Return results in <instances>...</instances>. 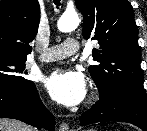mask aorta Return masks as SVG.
<instances>
[{"instance_id":"obj_1","label":"aorta","mask_w":147,"mask_h":131,"mask_svg":"<svg viewBox=\"0 0 147 131\" xmlns=\"http://www.w3.org/2000/svg\"><path fill=\"white\" fill-rule=\"evenodd\" d=\"M79 23H80V19H79L77 13H75V12L67 13L66 12L58 20L57 26L61 32H71L75 28H77Z\"/></svg>"}]
</instances>
